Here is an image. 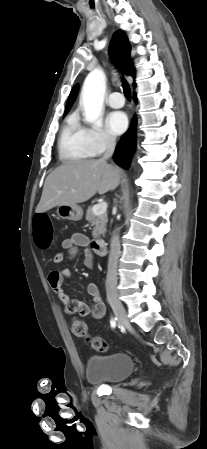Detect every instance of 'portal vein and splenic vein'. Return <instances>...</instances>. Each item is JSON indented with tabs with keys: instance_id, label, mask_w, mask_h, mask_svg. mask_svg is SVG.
I'll return each instance as SVG.
<instances>
[{
	"instance_id": "portal-vein-and-splenic-vein-1",
	"label": "portal vein and splenic vein",
	"mask_w": 207,
	"mask_h": 449,
	"mask_svg": "<svg viewBox=\"0 0 207 449\" xmlns=\"http://www.w3.org/2000/svg\"><path fill=\"white\" fill-rule=\"evenodd\" d=\"M106 210H107L106 202L98 203L93 207V212L97 215H101V214L105 213Z\"/></svg>"
}]
</instances>
